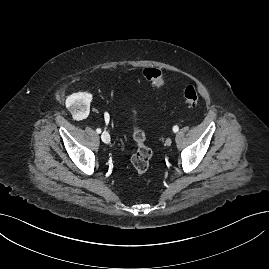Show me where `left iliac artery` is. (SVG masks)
<instances>
[{"label": "left iliac artery", "instance_id": "44dca946", "mask_svg": "<svg viewBox=\"0 0 269 269\" xmlns=\"http://www.w3.org/2000/svg\"><path fill=\"white\" fill-rule=\"evenodd\" d=\"M178 130H179L178 126H174V127H173V132H174V133L178 132Z\"/></svg>", "mask_w": 269, "mask_h": 269}]
</instances>
